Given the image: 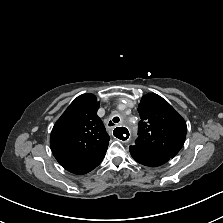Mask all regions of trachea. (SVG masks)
<instances>
[{
	"label": "trachea",
	"mask_w": 223,
	"mask_h": 223,
	"mask_svg": "<svg viewBox=\"0 0 223 223\" xmlns=\"http://www.w3.org/2000/svg\"><path fill=\"white\" fill-rule=\"evenodd\" d=\"M119 121H120L119 117H114L112 121L109 122V126H113L115 125V123H119Z\"/></svg>",
	"instance_id": "obj_1"
}]
</instances>
